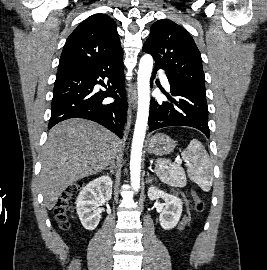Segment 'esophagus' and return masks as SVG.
I'll use <instances>...</instances> for the list:
<instances>
[{
    "mask_svg": "<svg viewBox=\"0 0 267 270\" xmlns=\"http://www.w3.org/2000/svg\"><path fill=\"white\" fill-rule=\"evenodd\" d=\"M135 99H136V94L133 93L132 96H131V100H132L131 102H134Z\"/></svg>",
    "mask_w": 267,
    "mask_h": 270,
    "instance_id": "esophagus-1",
    "label": "esophagus"
}]
</instances>
